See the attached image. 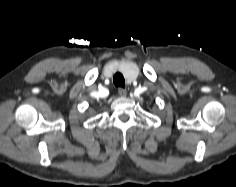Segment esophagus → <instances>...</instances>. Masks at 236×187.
<instances>
[{
    "label": "esophagus",
    "mask_w": 236,
    "mask_h": 187,
    "mask_svg": "<svg viewBox=\"0 0 236 187\" xmlns=\"http://www.w3.org/2000/svg\"><path fill=\"white\" fill-rule=\"evenodd\" d=\"M118 93L121 97H125L127 95L126 89L121 88V87L118 89Z\"/></svg>",
    "instance_id": "1"
}]
</instances>
